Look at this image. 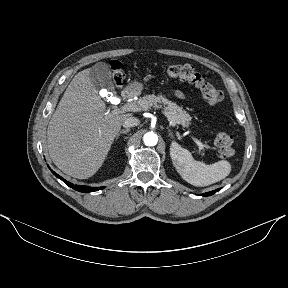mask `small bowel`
<instances>
[{"mask_svg":"<svg viewBox=\"0 0 288 288\" xmlns=\"http://www.w3.org/2000/svg\"><path fill=\"white\" fill-rule=\"evenodd\" d=\"M176 96H177L178 98H184V93L181 92V91H177V92H176Z\"/></svg>","mask_w":288,"mask_h":288,"instance_id":"c3829d8e","label":"small bowel"}]
</instances>
